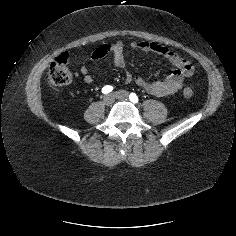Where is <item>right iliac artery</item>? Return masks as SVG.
Returning <instances> with one entry per match:
<instances>
[{"label": "right iliac artery", "instance_id": "82829eb1", "mask_svg": "<svg viewBox=\"0 0 236 236\" xmlns=\"http://www.w3.org/2000/svg\"><path fill=\"white\" fill-rule=\"evenodd\" d=\"M113 90V87L110 85H106L102 88V93L103 94H108Z\"/></svg>", "mask_w": 236, "mask_h": 236}]
</instances>
